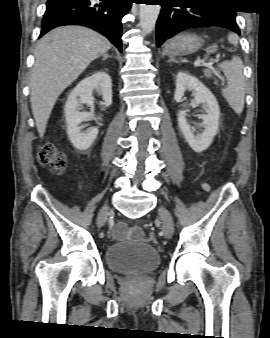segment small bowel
I'll use <instances>...</instances> for the list:
<instances>
[{"label": "small bowel", "mask_w": 270, "mask_h": 338, "mask_svg": "<svg viewBox=\"0 0 270 338\" xmlns=\"http://www.w3.org/2000/svg\"><path fill=\"white\" fill-rule=\"evenodd\" d=\"M114 235L115 236H129L133 240H139L141 238V232L136 227L128 229V228L119 226L114 230Z\"/></svg>", "instance_id": "small-bowel-1"}]
</instances>
